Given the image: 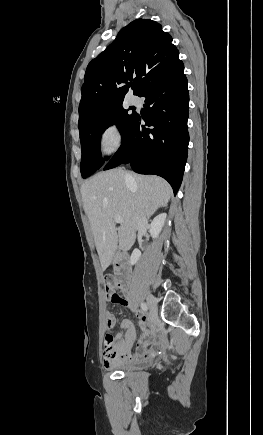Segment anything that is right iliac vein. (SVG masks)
Here are the masks:
<instances>
[{
    "mask_svg": "<svg viewBox=\"0 0 263 435\" xmlns=\"http://www.w3.org/2000/svg\"><path fill=\"white\" fill-rule=\"evenodd\" d=\"M147 304H148V307L150 310V318H151V320H153V319H155V317L157 315V310H158L157 301L154 298V296L148 295Z\"/></svg>",
    "mask_w": 263,
    "mask_h": 435,
    "instance_id": "63e3f726",
    "label": "right iliac vein"
}]
</instances>
